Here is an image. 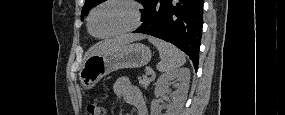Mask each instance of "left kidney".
<instances>
[{
    "mask_svg": "<svg viewBox=\"0 0 285 115\" xmlns=\"http://www.w3.org/2000/svg\"><path fill=\"white\" fill-rule=\"evenodd\" d=\"M174 79H177L179 83L176 84L177 90L173 92L174 96L172 98V102L166 107L167 115H179V112L185 103L189 89L190 70L188 68H179L162 74L156 82L155 97L158 98L159 96L169 92V86L171 81ZM159 104L160 101L158 99H154L151 102V115H158Z\"/></svg>",
    "mask_w": 285,
    "mask_h": 115,
    "instance_id": "left-kidney-1",
    "label": "left kidney"
}]
</instances>
